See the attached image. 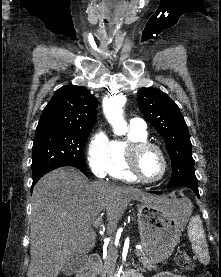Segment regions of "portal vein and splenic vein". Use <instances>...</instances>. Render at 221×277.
Here are the masks:
<instances>
[{
	"mask_svg": "<svg viewBox=\"0 0 221 277\" xmlns=\"http://www.w3.org/2000/svg\"><path fill=\"white\" fill-rule=\"evenodd\" d=\"M101 221H102L101 218H97L96 220L93 221L92 225H93L94 227H97V226H99V225L101 224ZM136 251H137V250H136ZM136 251H135V252H136Z\"/></svg>",
	"mask_w": 221,
	"mask_h": 277,
	"instance_id": "portal-vein-and-splenic-vein-1",
	"label": "portal vein and splenic vein"
}]
</instances>
